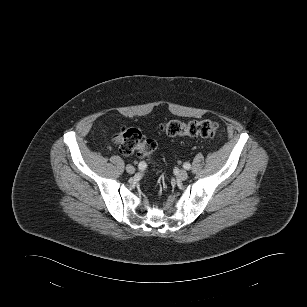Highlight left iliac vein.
Segmentation results:
<instances>
[{
    "label": "left iliac vein",
    "mask_w": 307,
    "mask_h": 307,
    "mask_svg": "<svg viewBox=\"0 0 307 307\" xmlns=\"http://www.w3.org/2000/svg\"><path fill=\"white\" fill-rule=\"evenodd\" d=\"M188 178V173L186 170L181 169L178 174H177V179L178 180H186Z\"/></svg>",
    "instance_id": "obj_1"
}]
</instances>
